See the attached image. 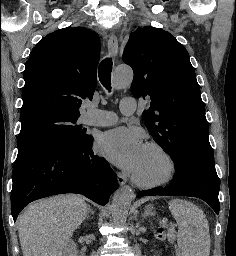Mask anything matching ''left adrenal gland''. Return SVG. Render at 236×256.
Masks as SVG:
<instances>
[{
	"instance_id": "left-adrenal-gland-1",
	"label": "left adrenal gland",
	"mask_w": 236,
	"mask_h": 256,
	"mask_svg": "<svg viewBox=\"0 0 236 256\" xmlns=\"http://www.w3.org/2000/svg\"><path fill=\"white\" fill-rule=\"evenodd\" d=\"M146 210L142 216V218H147V216H155V212H152V204H149V206H145Z\"/></svg>"
}]
</instances>
